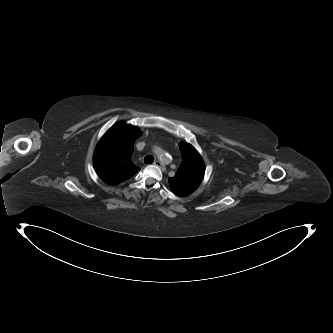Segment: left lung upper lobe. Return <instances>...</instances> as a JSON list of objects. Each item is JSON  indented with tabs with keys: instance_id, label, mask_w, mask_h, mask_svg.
Wrapping results in <instances>:
<instances>
[{
	"instance_id": "left-lung-upper-lobe-1",
	"label": "left lung upper lobe",
	"mask_w": 333,
	"mask_h": 333,
	"mask_svg": "<svg viewBox=\"0 0 333 333\" xmlns=\"http://www.w3.org/2000/svg\"><path fill=\"white\" fill-rule=\"evenodd\" d=\"M182 163L174 177L168 179L171 190L179 196H188L203 180L205 165L198 151L190 144L181 142Z\"/></svg>"
}]
</instances>
